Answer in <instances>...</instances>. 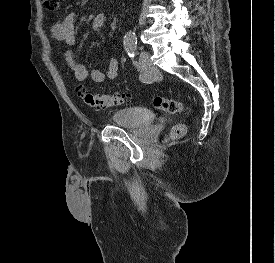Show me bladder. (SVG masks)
Listing matches in <instances>:
<instances>
[{"label": "bladder", "mask_w": 275, "mask_h": 263, "mask_svg": "<svg viewBox=\"0 0 275 263\" xmlns=\"http://www.w3.org/2000/svg\"><path fill=\"white\" fill-rule=\"evenodd\" d=\"M155 113L141 107L123 108L112 114L113 121L124 128L136 129L150 125L155 120Z\"/></svg>", "instance_id": "obj_1"}]
</instances>
